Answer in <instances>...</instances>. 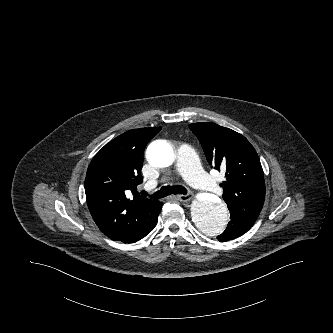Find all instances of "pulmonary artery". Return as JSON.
<instances>
[{
	"label": "pulmonary artery",
	"mask_w": 333,
	"mask_h": 333,
	"mask_svg": "<svg viewBox=\"0 0 333 333\" xmlns=\"http://www.w3.org/2000/svg\"><path fill=\"white\" fill-rule=\"evenodd\" d=\"M176 169L193 187L213 194H221L218 184L202 170L194 149L187 144L179 147Z\"/></svg>",
	"instance_id": "obj_1"
}]
</instances>
